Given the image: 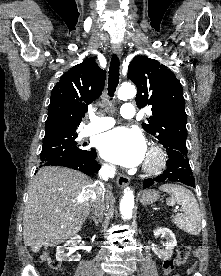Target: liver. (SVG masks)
<instances>
[{
	"instance_id": "6515ba94",
	"label": "liver",
	"mask_w": 221,
	"mask_h": 276,
	"mask_svg": "<svg viewBox=\"0 0 221 276\" xmlns=\"http://www.w3.org/2000/svg\"><path fill=\"white\" fill-rule=\"evenodd\" d=\"M97 182L79 171L43 167L31 182L23 217L26 246L37 253L75 236L89 215Z\"/></svg>"
}]
</instances>
